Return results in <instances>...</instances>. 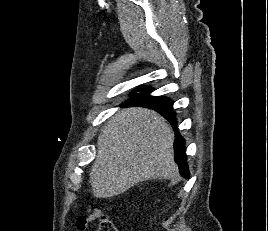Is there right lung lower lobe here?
<instances>
[{"label":"right lung lower lobe","mask_w":268,"mask_h":231,"mask_svg":"<svg viewBox=\"0 0 268 231\" xmlns=\"http://www.w3.org/2000/svg\"><path fill=\"white\" fill-rule=\"evenodd\" d=\"M125 106H142L135 103L123 104ZM144 107V106H143ZM161 115L170 121L172 127L175 130V142H174V151H175V162L179 165L180 174L186 178L189 177V171L187 166V158L185 154V140L181 137L180 133L176 130V116L172 107H169L165 110H158Z\"/></svg>","instance_id":"98d812e1"}]
</instances>
